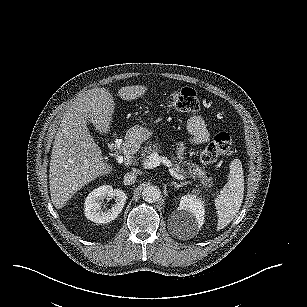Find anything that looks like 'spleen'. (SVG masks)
<instances>
[{
    "label": "spleen",
    "mask_w": 307,
    "mask_h": 307,
    "mask_svg": "<svg viewBox=\"0 0 307 307\" xmlns=\"http://www.w3.org/2000/svg\"><path fill=\"white\" fill-rule=\"evenodd\" d=\"M229 169L228 182L215 198L217 231L225 228L235 218L244 198V175L240 159L232 160Z\"/></svg>",
    "instance_id": "obj_1"
}]
</instances>
